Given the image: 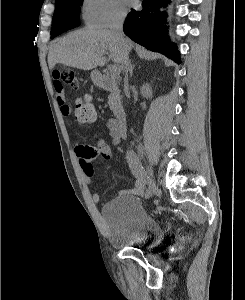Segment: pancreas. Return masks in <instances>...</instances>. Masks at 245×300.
<instances>
[{"label":"pancreas","mask_w":245,"mask_h":300,"mask_svg":"<svg viewBox=\"0 0 245 300\" xmlns=\"http://www.w3.org/2000/svg\"><path fill=\"white\" fill-rule=\"evenodd\" d=\"M120 99H121V97L119 96V94H116V95L112 94V95H110L109 98H108L109 106L111 108H114V106L116 104L120 105Z\"/></svg>","instance_id":"pancreas-1"}]
</instances>
